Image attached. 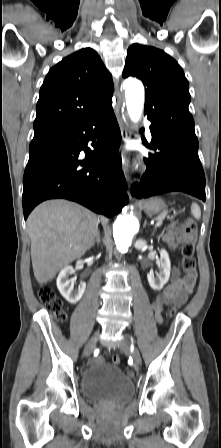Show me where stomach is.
Masks as SVG:
<instances>
[{"mask_svg": "<svg viewBox=\"0 0 221 448\" xmlns=\"http://www.w3.org/2000/svg\"><path fill=\"white\" fill-rule=\"evenodd\" d=\"M142 208L150 216L156 215V214H160V215L166 214L165 203L163 202L162 199L157 198V197L151 198V199L147 200L146 202H144L142 205Z\"/></svg>", "mask_w": 221, "mask_h": 448, "instance_id": "obj_1", "label": "stomach"}]
</instances>
